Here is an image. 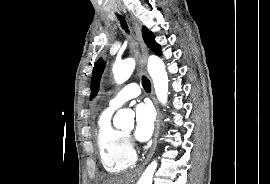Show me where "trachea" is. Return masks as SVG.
I'll use <instances>...</instances> for the list:
<instances>
[{
    "mask_svg": "<svg viewBox=\"0 0 270 184\" xmlns=\"http://www.w3.org/2000/svg\"><path fill=\"white\" fill-rule=\"evenodd\" d=\"M118 19L120 20V23H121V27L128 32V26H127V23L126 21L124 20V18L121 16V15H118L117 16ZM142 85H143V88L145 89L146 92H150L151 91V83L150 81L147 79V77L143 76L142 77Z\"/></svg>",
    "mask_w": 270,
    "mask_h": 184,
    "instance_id": "trachea-1",
    "label": "trachea"
}]
</instances>
